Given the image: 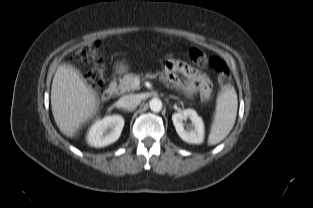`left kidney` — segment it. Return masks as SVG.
I'll return each instance as SVG.
<instances>
[{
    "label": "left kidney",
    "mask_w": 313,
    "mask_h": 208,
    "mask_svg": "<svg viewBox=\"0 0 313 208\" xmlns=\"http://www.w3.org/2000/svg\"><path fill=\"white\" fill-rule=\"evenodd\" d=\"M191 120V124L185 125L183 121ZM172 121L177 134L182 140L190 144H201L204 140V123L197 112L193 109H186L172 115Z\"/></svg>",
    "instance_id": "1"
}]
</instances>
